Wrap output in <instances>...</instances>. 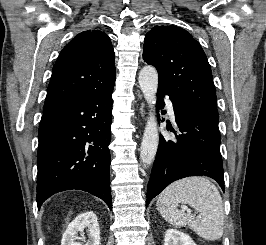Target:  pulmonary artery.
I'll return each mask as SVG.
<instances>
[{
  "mask_svg": "<svg viewBox=\"0 0 266 245\" xmlns=\"http://www.w3.org/2000/svg\"><path fill=\"white\" fill-rule=\"evenodd\" d=\"M166 106H167L170 117L173 119L174 118V110H173L172 102L170 100H167Z\"/></svg>",
  "mask_w": 266,
  "mask_h": 245,
  "instance_id": "1",
  "label": "pulmonary artery"
}]
</instances>
